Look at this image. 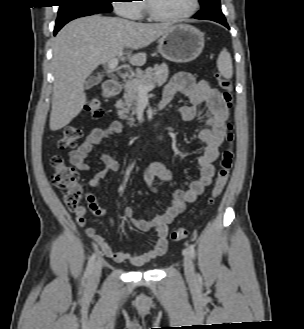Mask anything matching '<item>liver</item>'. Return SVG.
I'll return each instance as SVG.
<instances>
[{"label": "liver", "mask_w": 304, "mask_h": 329, "mask_svg": "<svg viewBox=\"0 0 304 329\" xmlns=\"http://www.w3.org/2000/svg\"><path fill=\"white\" fill-rule=\"evenodd\" d=\"M171 28L168 23H137L121 18L93 15L65 25L53 41L54 87L50 129L68 125L86 104V79L94 69L113 58L134 66L146 62L147 47Z\"/></svg>", "instance_id": "obj_1"}]
</instances>
